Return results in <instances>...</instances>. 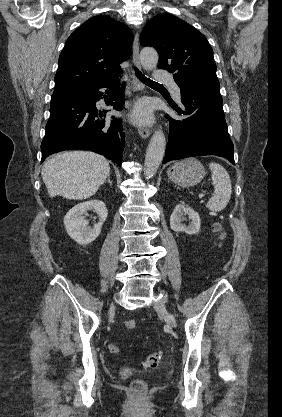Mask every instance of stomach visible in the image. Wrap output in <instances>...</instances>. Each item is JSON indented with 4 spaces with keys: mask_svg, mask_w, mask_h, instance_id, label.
<instances>
[{
    "mask_svg": "<svg viewBox=\"0 0 282 417\" xmlns=\"http://www.w3.org/2000/svg\"><path fill=\"white\" fill-rule=\"evenodd\" d=\"M167 174L179 186H194L205 176L203 164L197 158H184L170 164Z\"/></svg>",
    "mask_w": 282,
    "mask_h": 417,
    "instance_id": "1",
    "label": "stomach"
}]
</instances>
